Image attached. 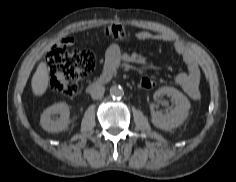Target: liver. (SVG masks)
I'll use <instances>...</instances> for the list:
<instances>
[{
    "label": "liver",
    "instance_id": "1",
    "mask_svg": "<svg viewBox=\"0 0 236 182\" xmlns=\"http://www.w3.org/2000/svg\"><path fill=\"white\" fill-rule=\"evenodd\" d=\"M48 82L49 72L47 64L42 61L39 63L31 81L32 91L34 95L42 96L47 90Z\"/></svg>",
    "mask_w": 236,
    "mask_h": 182
}]
</instances>
